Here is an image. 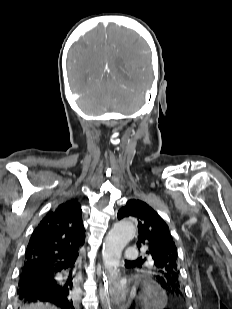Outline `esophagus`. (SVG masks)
<instances>
[{
  "label": "esophagus",
  "instance_id": "1",
  "mask_svg": "<svg viewBox=\"0 0 232 309\" xmlns=\"http://www.w3.org/2000/svg\"><path fill=\"white\" fill-rule=\"evenodd\" d=\"M103 281L99 286V297L101 300V304L105 309H111L110 299H109V291L111 290V284L114 279L110 277L105 271H102Z\"/></svg>",
  "mask_w": 232,
  "mask_h": 309
}]
</instances>
